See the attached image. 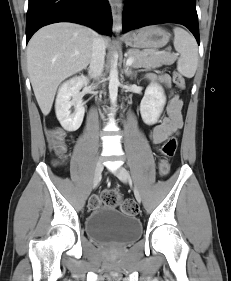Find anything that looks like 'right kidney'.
I'll return each instance as SVG.
<instances>
[{
	"label": "right kidney",
	"instance_id": "right-kidney-1",
	"mask_svg": "<svg viewBox=\"0 0 231 281\" xmlns=\"http://www.w3.org/2000/svg\"><path fill=\"white\" fill-rule=\"evenodd\" d=\"M87 83L88 79L84 76L74 77L64 82L58 90L55 103L56 116L67 131H76L82 124L85 107L80 90ZM72 106L75 111L71 114Z\"/></svg>",
	"mask_w": 231,
	"mask_h": 281
}]
</instances>
